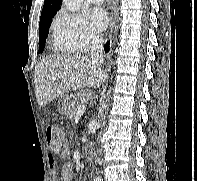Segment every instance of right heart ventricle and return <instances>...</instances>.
Segmentation results:
<instances>
[{"mask_svg":"<svg viewBox=\"0 0 197 181\" xmlns=\"http://www.w3.org/2000/svg\"><path fill=\"white\" fill-rule=\"evenodd\" d=\"M51 48L56 53L72 54L74 49L56 24L53 26Z\"/></svg>","mask_w":197,"mask_h":181,"instance_id":"right-heart-ventricle-1","label":"right heart ventricle"}]
</instances>
